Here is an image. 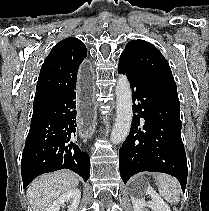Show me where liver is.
Returning <instances> with one entry per match:
<instances>
[{"mask_svg":"<svg viewBox=\"0 0 209 211\" xmlns=\"http://www.w3.org/2000/svg\"><path fill=\"white\" fill-rule=\"evenodd\" d=\"M79 183L71 171L61 170L36 178L27 190L28 202L33 211H45L54 199Z\"/></svg>","mask_w":209,"mask_h":211,"instance_id":"liver-1","label":"liver"}]
</instances>
